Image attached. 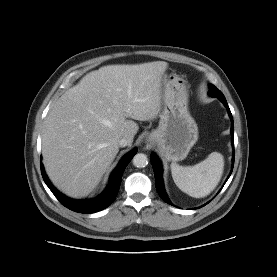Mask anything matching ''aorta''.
Instances as JSON below:
<instances>
[{
  "label": "aorta",
  "instance_id": "obj_1",
  "mask_svg": "<svg viewBox=\"0 0 277 277\" xmlns=\"http://www.w3.org/2000/svg\"><path fill=\"white\" fill-rule=\"evenodd\" d=\"M148 164V158L143 153H138L133 158V165L137 168H143L147 166Z\"/></svg>",
  "mask_w": 277,
  "mask_h": 277
}]
</instances>
